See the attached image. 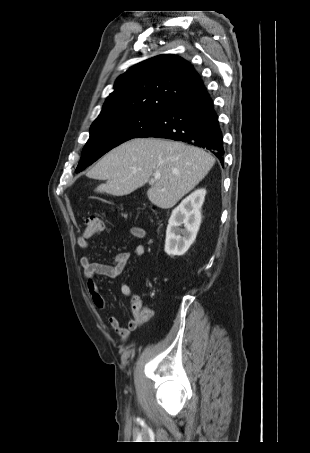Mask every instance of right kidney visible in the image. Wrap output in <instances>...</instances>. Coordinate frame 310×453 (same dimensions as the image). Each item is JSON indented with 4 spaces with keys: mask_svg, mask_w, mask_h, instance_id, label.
<instances>
[{
    "mask_svg": "<svg viewBox=\"0 0 310 453\" xmlns=\"http://www.w3.org/2000/svg\"><path fill=\"white\" fill-rule=\"evenodd\" d=\"M205 195V189H197L172 211L164 249L169 256H182L196 239ZM181 225H184V229L180 228Z\"/></svg>",
    "mask_w": 310,
    "mask_h": 453,
    "instance_id": "ca27d5eb",
    "label": "right kidney"
}]
</instances>
